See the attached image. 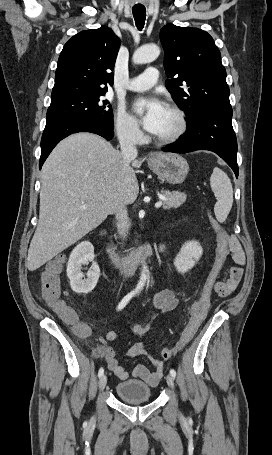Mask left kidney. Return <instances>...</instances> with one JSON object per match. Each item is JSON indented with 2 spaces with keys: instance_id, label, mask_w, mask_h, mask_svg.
I'll list each match as a JSON object with an SVG mask.
<instances>
[{
  "instance_id": "left-kidney-1",
  "label": "left kidney",
  "mask_w": 272,
  "mask_h": 455,
  "mask_svg": "<svg viewBox=\"0 0 272 455\" xmlns=\"http://www.w3.org/2000/svg\"><path fill=\"white\" fill-rule=\"evenodd\" d=\"M203 250L196 241L186 242L180 249L179 254L174 260V265L178 272L185 273L194 267L195 263L202 256Z\"/></svg>"
}]
</instances>
